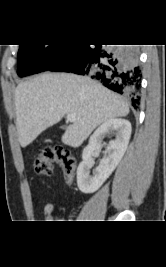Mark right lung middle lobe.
Returning a JSON list of instances; mask_svg holds the SVG:
<instances>
[{
  "label": "right lung middle lobe",
  "instance_id": "right-lung-middle-lobe-1",
  "mask_svg": "<svg viewBox=\"0 0 166 267\" xmlns=\"http://www.w3.org/2000/svg\"><path fill=\"white\" fill-rule=\"evenodd\" d=\"M18 70L24 77L42 71L55 63L66 51L69 45H19Z\"/></svg>",
  "mask_w": 166,
  "mask_h": 267
}]
</instances>
